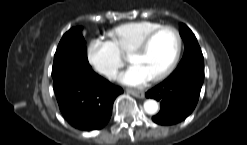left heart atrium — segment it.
Listing matches in <instances>:
<instances>
[{
    "mask_svg": "<svg viewBox=\"0 0 247 145\" xmlns=\"http://www.w3.org/2000/svg\"><path fill=\"white\" fill-rule=\"evenodd\" d=\"M118 79L126 85H141L148 82L151 78L141 68L136 65L130 66L126 71L122 72Z\"/></svg>",
    "mask_w": 247,
    "mask_h": 145,
    "instance_id": "left-heart-atrium-1",
    "label": "left heart atrium"
}]
</instances>
